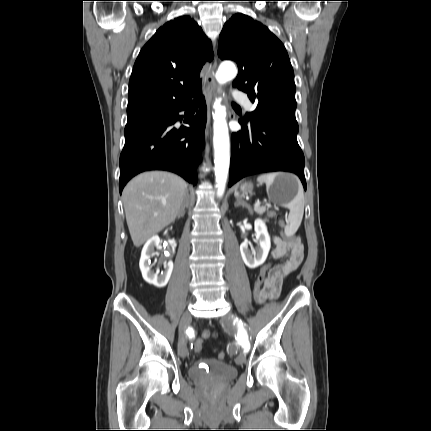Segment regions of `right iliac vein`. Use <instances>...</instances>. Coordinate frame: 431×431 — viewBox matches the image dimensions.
<instances>
[{
	"label": "right iliac vein",
	"mask_w": 431,
	"mask_h": 431,
	"mask_svg": "<svg viewBox=\"0 0 431 431\" xmlns=\"http://www.w3.org/2000/svg\"><path fill=\"white\" fill-rule=\"evenodd\" d=\"M191 322V315L188 311H186L180 320L179 324V343H178V353L182 358H185L188 356V350L186 346V340H185V331L189 327Z\"/></svg>",
	"instance_id": "right-iliac-vein-1"
}]
</instances>
